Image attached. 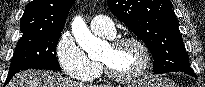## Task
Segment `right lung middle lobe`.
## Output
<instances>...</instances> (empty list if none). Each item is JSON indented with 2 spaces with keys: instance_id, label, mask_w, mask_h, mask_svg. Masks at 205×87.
I'll list each match as a JSON object with an SVG mask.
<instances>
[{
  "instance_id": "dd1d6c3e",
  "label": "right lung middle lobe",
  "mask_w": 205,
  "mask_h": 87,
  "mask_svg": "<svg viewBox=\"0 0 205 87\" xmlns=\"http://www.w3.org/2000/svg\"><path fill=\"white\" fill-rule=\"evenodd\" d=\"M61 31L23 33L13 54L9 74L22 69L60 70L55 55Z\"/></svg>"
}]
</instances>
